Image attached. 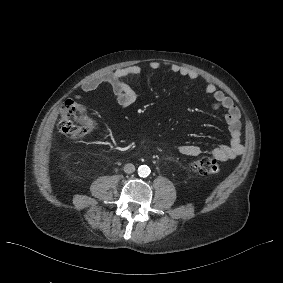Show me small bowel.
<instances>
[{
    "instance_id": "c3829d8e",
    "label": "small bowel",
    "mask_w": 283,
    "mask_h": 283,
    "mask_svg": "<svg viewBox=\"0 0 283 283\" xmlns=\"http://www.w3.org/2000/svg\"><path fill=\"white\" fill-rule=\"evenodd\" d=\"M160 66V63L157 61H152L149 64L151 70H158ZM167 66L172 73L190 80L196 81L200 78L199 74L194 70L178 64L168 63ZM140 73L141 68L136 65L126 66L113 72L103 73L87 81L82 86V91L84 93H89L97 89L102 84H108L112 88L118 105L121 108L126 109L131 107L137 99L136 92L127 83L126 79L129 76H137ZM204 81V90L205 93L212 98V107L214 109H223L225 111L224 119L230 133L229 144L212 147L206 152L220 161L235 159L244 152L241 135V112L234 101L223 91L217 89L216 85L211 80L204 79ZM76 98L81 99V95H78ZM172 149L185 156H198L205 152V150L200 146L192 144L177 145L173 146Z\"/></svg>"
}]
</instances>
